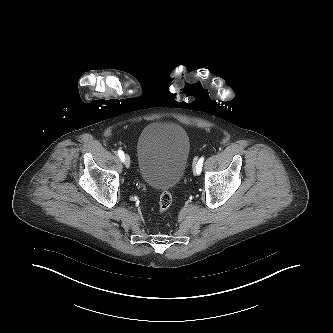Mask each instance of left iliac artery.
<instances>
[{
    "instance_id": "obj_1",
    "label": "left iliac artery",
    "mask_w": 333,
    "mask_h": 333,
    "mask_svg": "<svg viewBox=\"0 0 333 333\" xmlns=\"http://www.w3.org/2000/svg\"><path fill=\"white\" fill-rule=\"evenodd\" d=\"M203 162H204V157H201L196 164V173L199 175L202 171V166H203Z\"/></svg>"
}]
</instances>
